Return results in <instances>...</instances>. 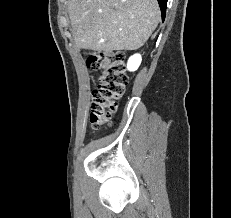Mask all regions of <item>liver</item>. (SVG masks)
<instances>
[{
	"instance_id": "obj_1",
	"label": "liver",
	"mask_w": 231,
	"mask_h": 218,
	"mask_svg": "<svg viewBox=\"0 0 231 218\" xmlns=\"http://www.w3.org/2000/svg\"><path fill=\"white\" fill-rule=\"evenodd\" d=\"M75 44L94 51L136 50L160 20L157 0H68Z\"/></svg>"
}]
</instances>
